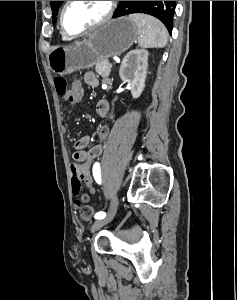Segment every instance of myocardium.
Returning a JSON list of instances; mask_svg holds the SVG:
<instances>
[{
    "mask_svg": "<svg viewBox=\"0 0 237 300\" xmlns=\"http://www.w3.org/2000/svg\"><path fill=\"white\" fill-rule=\"evenodd\" d=\"M71 2L72 1H65L64 5L62 6V9L60 11V17H59L61 33L67 38H76V37H79L83 34L90 32V31L101 28L102 26L106 25L112 19L115 9H116V1H107V11H106L105 15L99 21L88 26L87 28L83 29L82 31H80L76 34H71L66 30L65 25H64L65 12Z\"/></svg>",
    "mask_w": 237,
    "mask_h": 300,
    "instance_id": "obj_1",
    "label": "myocardium"
}]
</instances>
